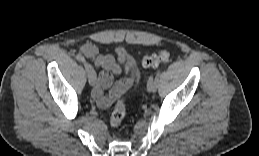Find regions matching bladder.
Instances as JSON below:
<instances>
[{
  "mask_svg": "<svg viewBox=\"0 0 259 156\" xmlns=\"http://www.w3.org/2000/svg\"><path fill=\"white\" fill-rule=\"evenodd\" d=\"M140 80V74L138 71H136L135 76H134V80L132 83V88H135L137 86V84L139 83Z\"/></svg>",
  "mask_w": 259,
  "mask_h": 156,
  "instance_id": "bladder-1",
  "label": "bladder"
}]
</instances>
